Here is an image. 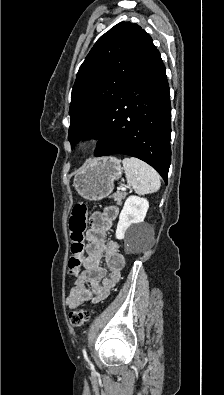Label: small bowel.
Wrapping results in <instances>:
<instances>
[{
  "instance_id": "1",
  "label": "small bowel",
  "mask_w": 224,
  "mask_h": 395,
  "mask_svg": "<svg viewBox=\"0 0 224 395\" xmlns=\"http://www.w3.org/2000/svg\"><path fill=\"white\" fill-rule=\"evenodd\" d=\"M117 215L116 207H108L102 213L92 216L91 226L86 234L87 256L82 259L83 270L77 276L66 298V304L70 308L79 306L84 301L104 300L120 279L121 271L125 266L124 256L117 242L105 239ZM103 260L106 268L101 266Z\"/></svg>"
}]
</instances>
